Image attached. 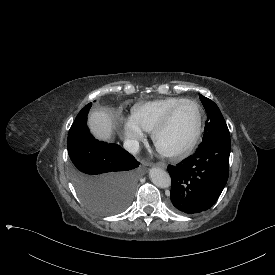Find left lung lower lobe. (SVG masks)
I'll return each mask as SVG.
<instances>
[{
    "instance_id": "left-lung-lower-lobe-1",
    "label": "left lung lower lobe",
    "mask_w": 275,
    "mask_h": 275,
    "mask_svg": "<svg viewBox=\"0 0 275 275\" xmlns=\"http://www.w3.org/2000/svg\"><path fill=\"white\" fill-rule=\"evenodd\" d=\"M230 135L202 142L190 158L168 166L173 206L193 214L211 208L224 189L229 175Z\"/></svg>"
}]
</instances>
